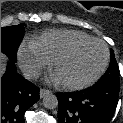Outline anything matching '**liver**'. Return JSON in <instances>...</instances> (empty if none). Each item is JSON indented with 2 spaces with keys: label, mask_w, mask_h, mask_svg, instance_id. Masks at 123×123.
<instances>
[{
  "label": "liver",
  "mask_w": 123,
  "mask_h": 123,
  "mask_svg": "<svg viewBox=\"0 0 123 123\" xmlns=\"http://www.w3.org/2000/svg\"><path fill=\"white\" fill-rule=\"evenodd\" d=\"M6 56L4 54L1 53V75L4 72V65H5V61H6Z\"/></svg>",
  "instance_id": "obj_1"
}]
</instances>
